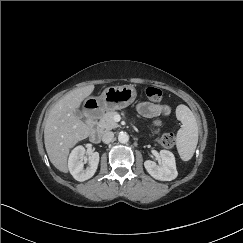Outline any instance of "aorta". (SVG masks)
<instances>
[{"instance_id": "762f6f07", "label": "aorta", "mask_w": 243, "mask_h": 243, "mask_svg": "<svg viewBox=\"0 0 243 243\" xmlns=\"http://www.w3.org/2000/svg\"><path fill=\"white\" fill-rule=\"evenodd\" d=\"M118 141L120 143H127L129 141V135L126 132H120L118 135Z\"/></svg>"}]
</instances>
